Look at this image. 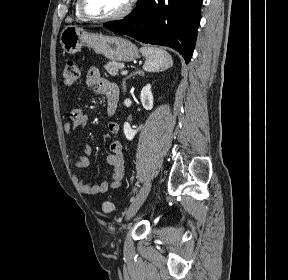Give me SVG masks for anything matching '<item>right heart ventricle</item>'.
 I'll list each match as a JSON object with an SVG mask.
<instances>
[{
	"instance_id": "right-heart-ventricle-1",
	"label": "right heart ventricle",
	"mask_w": 288,
	"mask_h": 280,
	"mask_svg": "<svg viewBox=\"0 0 288 280\" xmlns=\"http://www.w3.org/2000/svg\"><path fill=\"white\" fill-rule=\"evenodd\" d=\"M75 15H76L77 19H79V20H85V19L81 16V14H80V12H79V9H78V1H76V3H75Z\"/></svg>"
}]
</instances>
